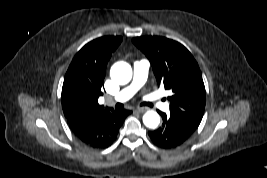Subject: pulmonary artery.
I'll return each mask as SVG.
<instances>
[{
    "mask_svg": "<svg viewBox=\"0 0 267 178\" xmlns=\"http://www.w3.org/2000/svg\"><path fill=\"white\" fill-rule=\"evenodd\" d=\"M149 66V62L146 60L135 62L133 66V80L131 84L114 95L111 98V101L122 103L129 100L145 83L148 76ZM160 106L162 108H167L166 104H160Z\"/></svg>",
    "mask_w": 267,
    "mask_h": 178,
    "instance_id": "1",
    "label": "pulmonary artery"
}]
</instances>
